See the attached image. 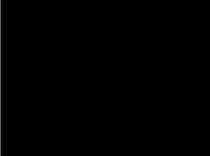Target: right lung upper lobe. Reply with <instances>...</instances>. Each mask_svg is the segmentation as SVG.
<instances>
[{
	"instance_id": "right-lung-upper-lobe-1",
	"label": "right lung upper lobe",
	"mask_w": 210,
	"mask_h": 156,
	"mask_svg": "<svg viewBox=\"0 0 210 156\" xmlns=\"http://www.w3.org/2000/svg\"><path fill=\"white\" fill-rule=\"evenodd\" d=\"M73 92L70 84L59 81L52 91L51 128L57 133L79 132L73 108Z\"/></svg>"
}]
</instances>
